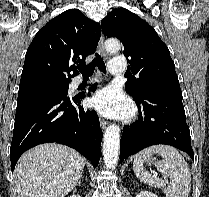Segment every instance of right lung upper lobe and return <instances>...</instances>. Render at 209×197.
Masks as SVG:
<instances>
[{
	"instance_id": "obj_1",
	"label": "right lung upper lobe",
	"mask_w": 209,
	"mask_h": 197,
	"mask_svg": "<svg viewBox=\"0 0 209 197\" xmlns=\"http://www.w3.org/2000/svg\"><path fill=\"white\" fill-rule=\"evenodd\" d=\"M100 35V24L77 9L50 20L28 47L19 88L69 83L78 75L75 64H85V58L95 51Z\"/></svg>"
}]
</instances>
